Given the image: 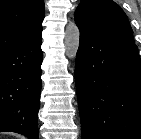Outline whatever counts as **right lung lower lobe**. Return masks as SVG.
I'll return each instance as SVG.
<instances>
[{"label": "right lung lower lobe", "instance_id": "obj_1", "mask_svg": "<svg viewBox=\"0 0 141 139\" xmlns=\"http://www.w3.org/2000/svg\"><path fill=\"white\" fill-rule=\"evenodd\" d=\"M41 36L0 50V131L39 139Z\"/></svg>", "mask_w": 141, "mask_h": 139}]
</instances>
